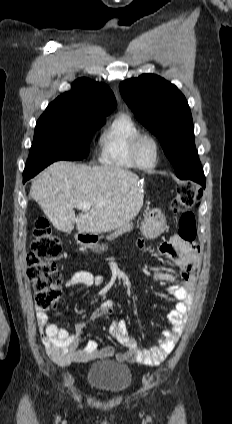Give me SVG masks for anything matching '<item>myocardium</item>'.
<instances>
[{
  "mask_svg": "<svg viewBox=\"0 0 232 424\" xmlns=\"http://www.w3.org/2000/svg\"><path fill=\"white\" fill-rule=\"evenodd\" d=\"M144 139L151 140L152 143L154 144V147H155V158H154L153 163L151 165H149V166L142 165L140 163L139 159H138V156H137L138 145ZM130 154H131V158H132L135 166L138 169H141V170H151V169H153V168L156 167V165L158 164V161H159V157H160V144H159V141H158V139L154 135H152L150 133L142 132V133L138 134L133 139L132 144H131V148H130Z\"/></svg>",
  "mask_w": 232,
  "mask_h": 424,
  "instance_id": "f54148a6",
  "label": "myocardium"
}]
</instances>
